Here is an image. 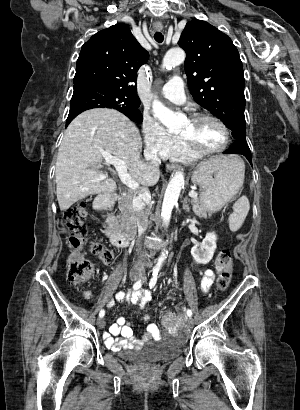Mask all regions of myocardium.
<instances>
[{"label":"myocardium","instance_id":"f54148a6","mask_svg":"<svg viewBox=\"0 0 300 410\" xmlns=\"http://www.w3.org/2000/svg\"><path fill=\"white\" fill-rule=\"evenodd\" d=\"M201 120H212L216 122L222 128L224 132V135H225L224 143L219 148L206 151V150H201L200 148H198L190 138L180 136V139L182 143L184 144V146L186 147V149L198 158L214 155V154L224 151L228 147L230 140H231V132L227 124L219 117L213 114H210V113H196L192 115L190 118V121L192 123H196Z\"/></svg>","mask_w":300,"mask_h":410}]
</instances>
